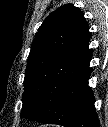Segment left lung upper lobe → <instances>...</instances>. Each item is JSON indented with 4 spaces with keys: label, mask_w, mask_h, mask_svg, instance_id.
Returning <instances> with one entry per match:
<instances>
[{
    "label": "left lung upper lobe",
    "mask_w": 108,
    "mask_h": 127,
    "mask_svg": "<svg viewBox=\"0 0 108 127\" xmlns=\"http://www.w3.org/2000/svg\"><path fill=\"white\" fill-rule=\"evenodd\" d=\"M85 18L79 7L64 4L41 24L31 44L23 81L21 116L36 120L52 102L64 75L60 62L80 33Z\"/></svg>",
    "instance_id": "5c2ea615"
}]
</instances>
